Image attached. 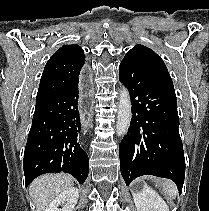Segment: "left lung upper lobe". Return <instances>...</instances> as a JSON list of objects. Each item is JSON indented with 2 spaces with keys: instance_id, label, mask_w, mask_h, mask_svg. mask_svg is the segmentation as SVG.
Wrapping results in <instances>:
<instances>
[{
  "instance_id": "left-lung-upper-lobe-1",
  "label": "left lung upper lobe",
  "mask_w": 209,
  "mask_h": 211,
  "mask_svg": "<svg viewBox=\"0 0 209 211\" xmlns=\"http://www.w3.org/2000/svg\"><path fill=\"white\" fill-rule=\"evenodd\" d=\"M126 55L135 57L147 69L172 82L163 60L152 49L143 45H136Z\"/></svg>"
}]
</instances>
